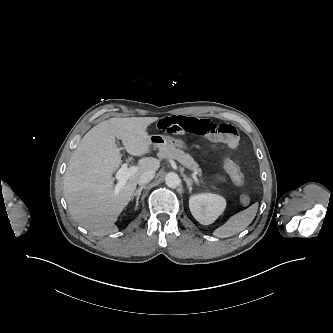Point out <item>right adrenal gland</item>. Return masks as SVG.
<instances>
[{
	"mask_svg": "<svg viewBox=\"0 0 333 333\" xmlns=\"http://www.w3.org/2000/svg\"><path fill=\"white\" fill-rule=\"evenodd\" d=\"M145 188V186H141L140 188H138L132 195L131 201H133L134 197L136 196V205H135V210L139 204V198L141 195V191Z\"/></svg>",
	"mask_w": 333,
	"mask_h": 333,
	"instance_id": "right-adrenal-gland-1",
	"label": "right adrenal gland"
}]
</instances>
